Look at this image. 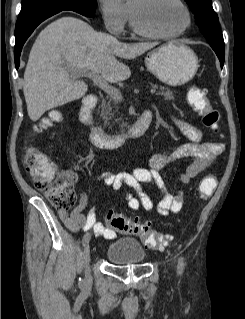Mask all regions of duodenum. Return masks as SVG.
I'll return each instance as SVG.
<instances>
[{
	"label": "duodenum",
	"mask_w": 245,
	"mask_h": 319,
	"mask_svg": "<svg viewBox=\"0 0 245 319\" xmlns=\"http://www.w3.org/2000/svg\"><path fill=\"white\" fill-rule=\"evenodd\" d=\"M97 98L94 95L85 97L81 103L79 120L90 131L91 143L102 149H115L127 139L141 137L149 128L151 115L144 112L125 132L118 134L106 133L95 121L92 111L96 106Z\"/></svg>",
	"instance_id": "duodenum-1"
}]
</instances>
